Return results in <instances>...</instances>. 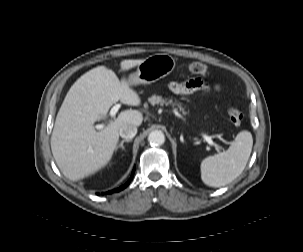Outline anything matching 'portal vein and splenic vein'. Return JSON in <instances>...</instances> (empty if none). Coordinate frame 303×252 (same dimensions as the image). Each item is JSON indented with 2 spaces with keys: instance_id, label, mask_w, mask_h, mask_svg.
Returning a JSON list of instances; mask_svg holds the SVG:
<instances>
[{
  "instance_id": "portal-vein-and-splenic-vein-1",
  "label": "portal vein and splenic vein",
  "mask_w": 303,
  "mask_h": 252,
  "mask_svg": "<svg viewBox=\"0 0 303 252\" xmlns=\"http://www.w3.org/2000/svg\"><path fill=\"white\" fill-rule=\"evenodd\" d=\"M119 108H120L119 104H116L115 106H113L111 108V110H110V116L111 117H115V115H116L117 111L119 110ZM103 127H104L103 124H98V125L95 126V128L98 129V130L102 129ZM203 137L206 140V142H208L209 145L215 146L216 148L221 149L220 146H218L216 143L213 142V140L211 139V137L206 136V135H204Z\"/></svg>"
}]
</instances>
